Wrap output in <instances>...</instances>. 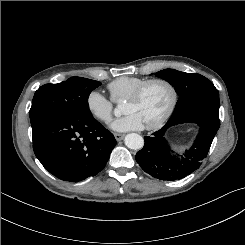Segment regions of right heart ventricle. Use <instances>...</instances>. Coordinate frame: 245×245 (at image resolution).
I'll return each instance as SVG.
<instances>
[{"mask_svg":"<svg viewBox=\"0 0 245 245\" xmlns=\"http://www.w3.org/2000/svg\"><path fill=\"white\" fill-rule=\"evenodd\" d=\"M147 79L134 76H122L108 84V90L113 100L126 99Z\"/></svg>","mask_w":245,"mask_h":245,"instance_id":"e07e8e85","label":"right heart ventricle"}]
</instances>
